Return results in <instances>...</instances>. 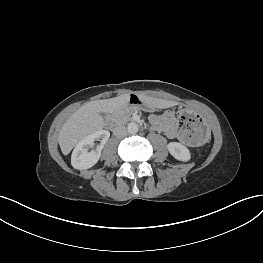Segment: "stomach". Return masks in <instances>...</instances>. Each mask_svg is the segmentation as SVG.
<instances>
[{
	"instance_id": "0dacf381",
	"label": "stomach",
	"mask_w": 263,
	"mask_h": 263,
	"mask_svg": "<svg viewBox=\"0 0 263 263\" xmlns=\"http://www.w3.org/2000/svg\"><path fill=\"white\" fill-rule=\"evenodd\" d=\"M155 107L143 101L138 95H131L127 109H154ZM175 130L181 132L183 140L192 145H202L210 137V130L199 117L198 113L192 109H183L178 112L177 118L173 122Z\"/></svg>"
}]
</instances>
